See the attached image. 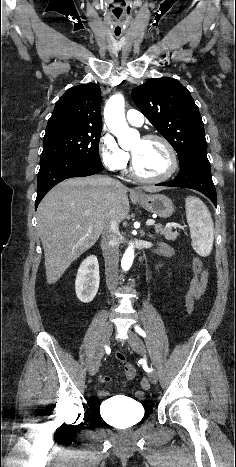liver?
<instances>
[{
  "label": "liver",
  "mask_w": 236,
  "mask_h": 467,
  "mask_svg": "<svg viewBox=\"0 0 236 467\" xmlns=\"http://www.w3.org/2000/svg\"><path fill=\"white\" fill-rule=\"evenodd\" d=\"M146 192L162 188L146 186ZM128 188L100 176L70 178L51 189L37 210L46 279L56 283L71 263L91 248L105 226L129 213Z\"/></svg>",
  "instance_id": "1"
}]
</instances>
